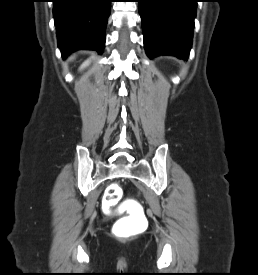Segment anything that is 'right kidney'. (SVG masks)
Listing matches in <instances>:
<instances>
[{"mask_svg": "<svg viewBox=\"0 0 258 275\" xmlns=\"http://www.w3.org/2000/svg\"><path fill=\"white\" fill-rule=\"evenodd\" d=\"M89 63H90V60L88 59L87 61H85V62L81 65L80 69L85 68L86 66L89 65Z\"/></svg>", "mask_w": 258, "mask_h": 275, "instance_id": "obj_1", "label": "right kidney"}]
</instances>
